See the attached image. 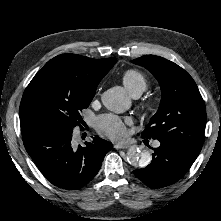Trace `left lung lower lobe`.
<instances>
[{
    "mask_svg": "<svg viewBox=\"0 0 221 221\" xmlns=\"http://www.w3.org/2000/svg\"><path fill=\"white\" fill-rule=\"evenodd\" d=\"M153 150L151 163L143 169L133 171L150 188L174 184L187 173L198 156L181 146L166 142H161Z\"/></svg>",
    "mask_w": 221,
    "mask_h": 221,
    "instance_id": "left-lung-lower-lobe-1",
    "label": "left lung lower lobe"
}]
</instances>
